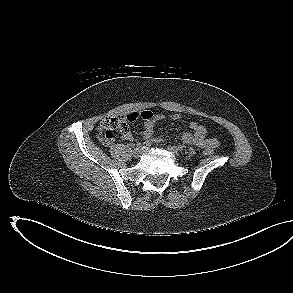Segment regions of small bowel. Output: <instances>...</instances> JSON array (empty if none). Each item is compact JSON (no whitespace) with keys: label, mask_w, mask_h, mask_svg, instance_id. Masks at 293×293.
<instances>
[{"label":"small bowel","mask_w":293,"mask_h":293,"mask_svg":"<svg viewBox=\"0 0 293 293\" xmlns=\"http://www.w3.org/2000/svg\"><path fill=\"white\" fill-rule=\"evenodd\" d=\"M126 119L129 121H134L138 118H141L144 122V132L143 135L146 139L149 140H155L153 138L154 133V126L159 121H162L165 119V115L160 113H154L150 110H144L141 112H131L128 115L125 116ZM172 118L174 120H177L180 118L179 114L172 115ZM190 129L191 132H185L182 134L181 139L184 143L189 145H194L200 148H212L215 149L218 147L219 142L215 138H207V129L205 126L193 121L190 123ZM123 139L126 141H132L134 139L132 133L130 131L123 134Z\"/></svg>","instance_id":"1"}]
</instances>
